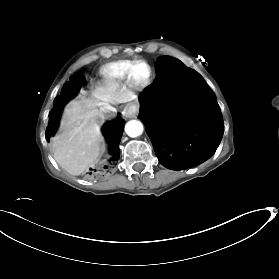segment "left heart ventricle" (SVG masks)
Listing matches in <instances>:
<instances>
[{"label": "left heart ventricle", "instance_id": "b2bd125f", "mask_svg": "<svg viewBox=\"0 0 279 279\" xmlns=\"http://www.w3.org/2000/svg\"><path fill=\"white\" fill-rule=\"evenodd\" d=\"M148 75V69L144 64H138L134 69V76L139 79L143 80Z\"/></svg>", "mask_w": 279, "mask_h": 279}]
</instances>
